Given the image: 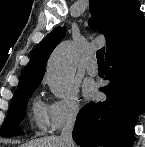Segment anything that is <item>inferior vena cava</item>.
<instances>
[{"mask_svg": "<svg viewBox=\"0 0 145 147\" xmlns=\"http://www.w3.org/2000/svg\"><path fill=\"white\" fill-rule=\"evenodd\" d=\"M76 120V113L68 116L59 137L63 147H75L72 139V131Z\"/></svg>", "mask_w": 145, "mask_h": 147, "instance_id": "602c4592", "label": "inferior vena cava"}]
</instances>
